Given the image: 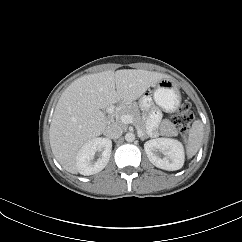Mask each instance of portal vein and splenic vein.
<instances>
[{
  "label": "portal vein and splenic vein",
  "instance_id": "obj_1",
  "mask_svg": "<svg viewBox=\"0 0 242 242\" xmlns=\"http://www.w3.org/2000/svg\"><path fill=\"white\" fill-rule=\"evenodd\" d=\"M120 122L123 123V124H130V123H133V117L129 114H124V115H121L120 116ZM136 129H137V132L140 136L143 135L142 131L140 130V128L136 125Z\"/></svg>",
  "mask_w": 242,
  "mask_h": 242
}]
</instances>
